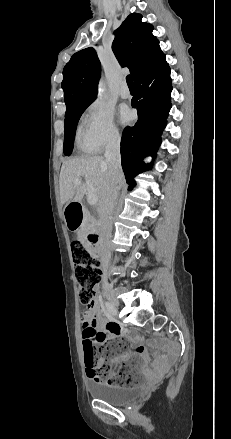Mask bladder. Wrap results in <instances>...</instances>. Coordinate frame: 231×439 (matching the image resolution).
Here are the masks:
<instances>
[{
  "label": "bladder",
  "mask_w": 231,
  "mask_h": 439,
  "mask_svg": "<svg viewBox=\"0 0 231 439\" xmlns=\"http://www.w3.org/2000/svg\"><path fill=\"white\" fill-rule=\"evenodd\" d=\"M134 367H131V371ZM90 395L98 400L114 405H121L141 396L142 390L137 386H116L103 382L94 383L89 386Z\"/></svg>",
  "instance_id": "obj_1"
}]
</instances>
